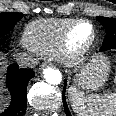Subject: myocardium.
<instances>
[{
	"label": "myocardium",
	"instance_id": "obj_1",
	"mask_svg": "<svg viewBox=\"0 0 116 116\" xmlns=\"http://www.w3.org/2000/svg\"><path fill=\"white\" fill-rule=\"evenodd\" d=\"M81 24H88L91 27L90 38L79 48H72L70 45V37L74 30ZM97 37V31L95 25L87 19H77L68 25L61 33L56 49L55 55L59 62L66 66H72L81 62L92 46L95 43Z\"/></svg>",
	"mask_w": 116,
	"mask_h": 116
}]
</instances>
